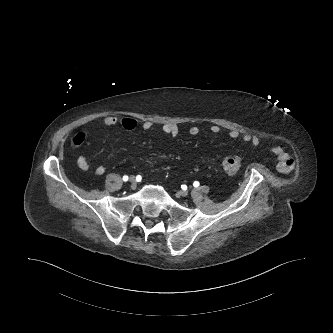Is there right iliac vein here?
Returning <instances> with one entry per match:
<instances>
[{"instance_id": "1", "label": "right iliac vein", "mask_w": 333, "mask_h": 333, "mask_svg": "<svg viewBox=\"0 0 333 333\" xmlns=\"http://www.w3.org/2000/svg\"><path fill=\"white\" fill-rule=\"evenodd\" d=\"M129 182L131 183L132 186H135L136 185V179H135V177L134 176H130Z\"/></svg>"}]
</instances>
